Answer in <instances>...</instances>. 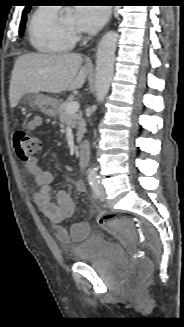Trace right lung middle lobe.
<instances>
[{
  "instance_id": "dd1d6c3e",
  "label": "right lung middle lobe",
  "mask_w": 184,
  "mask_h": 327,
  "mask_svg": "<svg viewBox=\"0 0 184 327\" xmlns=\"http://www.w3.org/2000/svg\"><path fill=\"white\" fill-rule=\"evenodd\" d=\"M25 23H26V14L22 16L21 24H20V29H19V34L22 35L24 32L25 28Z\"/></svg>"
}]
</instances>
